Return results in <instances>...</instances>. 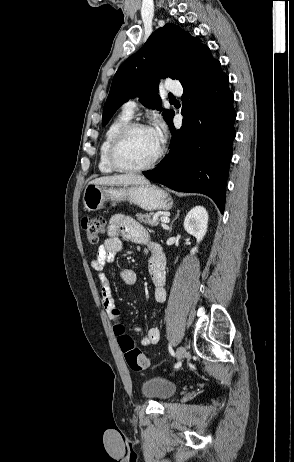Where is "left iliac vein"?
Listing matches in <instances>:
<instances>
[{"instance_id": "4c4485c4", "label": "left iliac vein", "mask_w": 294, "mask_h": 462, "mask_svg": "<svg viewBox=\"0 0 294 462\" xmlns=\"http://www.w3.org/2000/svg\"><path fill=\"white\" fill-rule=\"evenodd\" d=\"M186 355V350L183 346H179L176 351V357L178 361H181Z\"/></svg>"}]
</instances>
